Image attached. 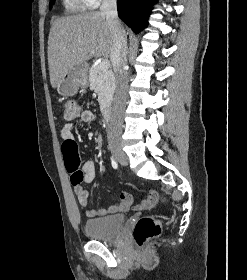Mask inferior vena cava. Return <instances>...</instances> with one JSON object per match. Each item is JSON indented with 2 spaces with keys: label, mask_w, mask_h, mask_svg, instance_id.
Here are the masks:
<instances>
[{
  "label": "inferior vena cava",
  "mask_w": 247,
  "mask_h": 280,
  "mask_svg": "<svg viewBox=\"0 0 247 280\" xmlns=\"http://www.w3.org/2000/svg\"><path fill=\"white\" fill-rule=\"evenodd\" d=\"M117 0H103L100 13L106 17L108 27L113 37V48L110 58L116 78V91L113 112L108 129L109 143L118 142L122 130V111L126 101L128 75L125 70L127 57V36L117 13Z\"/></svg>",
  "instance_id": "obj_1"
}]
</instances>
